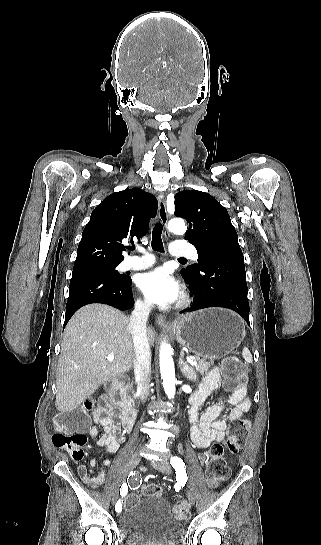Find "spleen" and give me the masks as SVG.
<instances>
[{
	"label": "spleen",
	"mask_w": 321,
	"mask_h": 545,
	"mask_svg": "<svg viewBox=\"0 0 321 545\" xmlns=\"http://www.w3.org/2000/svg\"><path fill=\"white\" fill-rule=\"evenodd\" d=\"M242 357H243V359H245L246 363H252V361H253L252 355H251L249 349H247V347H244V349L242 351Z\"/></svg>",
	"instance_id": "3e777b00"
}]
</instances>
